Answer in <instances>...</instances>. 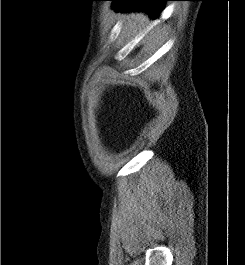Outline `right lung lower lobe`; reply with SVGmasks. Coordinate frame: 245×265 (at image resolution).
Wrapping results in <instances>:
<instances>
[{
	"label": "right lung lower lobe",
	"mask_w": 245,
	"mask_h": 265,
	"mask_svg": "<svg viewBox=\"0 0 245 265\" xmlns=\"http://www.w3.org/2000/svg\"><path fill=\"white\" fill-rule=\"evenodd\" d=\"M114 1L113 8L116 11L121 9H136L148 11L152 17L159 16L165 1L168 0H111Z\"/></svg>",
	"instance_id": "obj_1"
}]
</instances>
